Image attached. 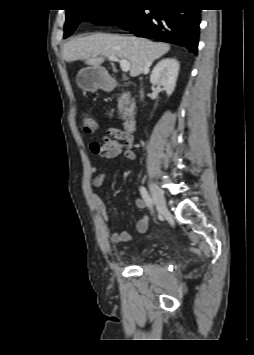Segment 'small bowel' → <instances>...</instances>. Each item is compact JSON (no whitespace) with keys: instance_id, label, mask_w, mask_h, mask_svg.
<instances>
[{"instance_id":"obj_1","label":"small bowel","mask_w":254,"mask_h":355,"mask_svg":"<svg viewBox=\"0 0 254 355\" xmlns=\"http://www.w3.org/2000/svg\"><path fill=\"white\" fill-rule=\"evenodd\" d=\"M134 138L131 134L127 133L116 127H111L108 129L106 135L103 136L102 142L93 141L90 143L89 148L93 155L101 159H115L120 155L128 160L135 159V153L133 151ZM93 173L98 172V166L94 165L91 168ZM105 173H97L93 179V185L96 188L102 187L105 182ZM92 199L96 208L104 220L109 219L107 208L102 198L94 193ZM135 205L138 208H144L146 203L144 199L137 198L135 200ZM149 220L147 216H143L136 224L137 230L140 233L146 232L148 229ZM132 238L128 231L115 232L111 235V240L114 243L128 242Z\"/></svg>"}]
</instances>
